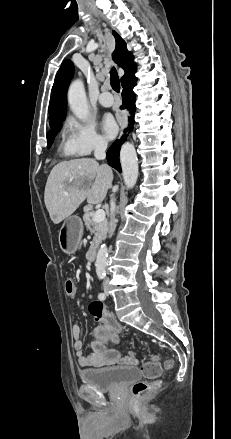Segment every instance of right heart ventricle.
I'll list each match as a JSON object with an SVG mask.
<instances>
[{"mask_svg":"<svg viewBox=\"0 0 231 439\" xmlns=\"http://www.w3.org/2000/svg\"><path fill=\"white\" fill-rule=\"evenodd\" d=\"M60 150L65 156H72L74 153L71 151L68 144V136L64 135L60 144Z\"/></svg>","mask_w":231,"mask_h":439,"instance_id":"right-heart-ventricle-1","label":"right heart ventricle"}]
</instances>
